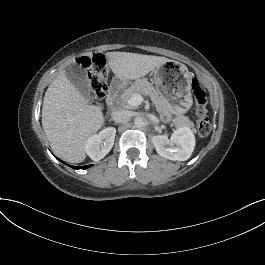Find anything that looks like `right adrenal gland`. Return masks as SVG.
Instances as JSON below:
<instances>
[{
  "label": "right adrenal gland",
  "instance_id": "obj_1",
  "mask_svg": "<svg viewBox=\"0 0 265 265\" xmlns=\"http://www.w3.org/2000/svg\"><path fill=\"white\" fill-rule=\"evenodd\" d=\"M111 122H113V120H112V119L109 121V123H111Z\"/></svg>",
  "mask_w": 265,
  "mask_h": 265
}]
</instances>
